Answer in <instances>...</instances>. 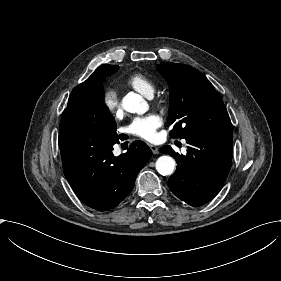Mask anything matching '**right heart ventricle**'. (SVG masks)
Returning <instances> with one entry per match:
<instances>
[{
  "label": "right heart ventricle",
  "instance_id": "e07e8e85",
  "mask_svg": "<svg viewBox=\"0 0 281 281\" xmlns=\"http://www.w3.org/2000/svg\"><path fill=\"white\" fill-rule=\"evenodd\" d=\"M125 88L133 89L139 94L151 98L154 93L152 82L140 73H133L125 78L122 82Z\"/></svg>",
  "mask_w": 281,
  "mask_h": 281
}]
</instances>
